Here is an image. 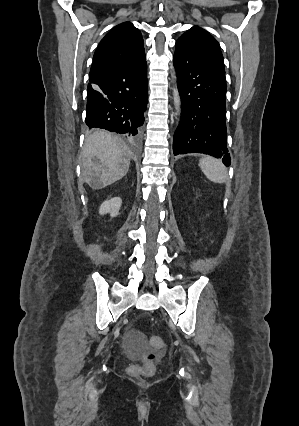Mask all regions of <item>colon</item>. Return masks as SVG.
<instances>
[{
	"label": "colon",
	"mask_w": 299,
	"mask_h": 426,
	"mask_svg": "<svg viewBox=\"0 0 299 426\" xmlns=\"http://www.w3.org/2000/svg\"><path fill=\"white\" fill-rule=\"evenodd\" d=\"M149 343L154 351L149 352L146 355L145 366H132L128 369V372L133 377L150 376L154 371V362L157 359V350L163 348V340L160 337L154 336L149 339Z\"/></svg>",
	"instance_id": "5ec220e1"
}]
</instances>
